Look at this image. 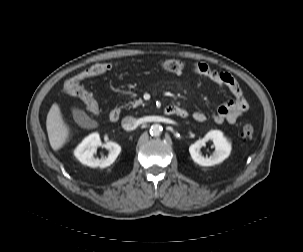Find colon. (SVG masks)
Returning a JSON list of instances; mask_svg holds the SVG:
<instances>
[{
    "instance_id": "colon-1",
    "label": "colon",
    "mask_w": 303,
    "mask_h": 252,
    "mask_svg": "<svg viewBox=\"0 0 303 252\" xmlns=\"http://www.w3.org/2000/svg\"><path fill=\"white\" fill-rule=\"evenodd\" d=\"M161 69L172 72V73H182L185 70V64L180 60L166 59L161 60L156 63ZM118 67L117 63L105 62L96 63L83 71L76 74L67 82V88L71 95L79 96L86 104L87 109L92 115H96L99 111L98 101L93 93L85 91L79 84V82L87 77L98 76L107 74ZM254 127L246 123L242 127V135L246 138L252 137L254 135Z\"/></svg>"
}]
</instances>
